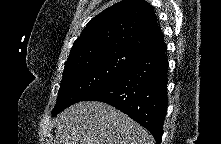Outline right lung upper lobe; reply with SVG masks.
Here are the masks:
<instances>
[{
  "label": "right lung upper lobe",
  "mask_w": 221,
  "mask_h": 144,
  "mask_svg": "<svg viewBox=\"0 0 221 144\" xmlns=\"http://www.w3.org/2000/svg\"><path fill=\"white\" fill-rule=\"evenodd\" d=\"M162 43L163 35L152 6L144 0H123L88 22L74 42L65 65L110 50L142 56Z\"/></svg>",
  "instance_id": "cb5924a9"
}]
</instances>
